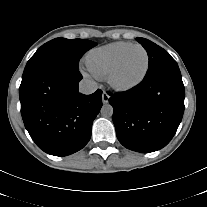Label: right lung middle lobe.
I'll return each mask as SVG.
<instances>
[{"instance_id": "1", "label": "right lung middle lobe", "mask_w": 207, "mask_h": 207, "mask_svg": "<svg viewBox=\"0 0 207 207\" xmlns=\"http://www.w3.org/2000/svg\"><path fill=\"white\" fill-rule=\"evenodd\" d=\"M96 45L89 40L55 38L36 51L28 61L23 75L52 63L78 67L83 53Z\"/></svg>"}]
</instances>
